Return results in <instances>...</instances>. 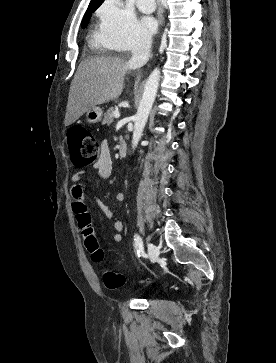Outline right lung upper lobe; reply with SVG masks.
<instances>
[{
    "mask_svg": "<svg viewBox=\"0 0 276 363\" xmlns=\"http://www.w3.org/2000/svg\"><path fill=\"white\" fill-rule=\"evenodd\" d=\"M103 0H91L89 7L90 6H99L102 3Z\"/></svg>",
    "mask_w": 276,
    "mask_h": 363,
    "instance_id": "cb5924a9",
    "label": "right lung upper lobe"
}]
</instances>
